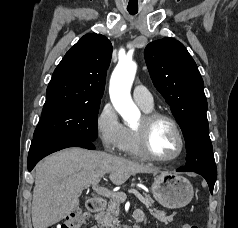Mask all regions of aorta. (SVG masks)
Returning <instances> with one entry per match:
<instances>
[{
    "mask_svg": "<svg viewBox=\"0 0 238 228\" xmlns=\"http://www.w3.org/2000/svg\"><path fill=\"white\" fill-rule=\"evenodd\" d=\"M136 70L135 62L120 60L110 79L109 93L112 104L126 122L135 120L140 114L130 95Z\"/></svg>",
    "mask_w": 238,
    "mask_h": 228,
    "instance_id": "1",
    "label": "aorta"
}]
</instances>
